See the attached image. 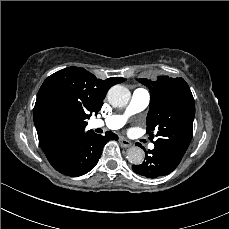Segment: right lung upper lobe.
Wrapping results in <instances>:
<instances>
[{
	"instance_id": "right-lung-upper-lobe-1",
	"label": "right lung upper lobe",
	"mask_w": 229,
	"mask_h": 229,
	"mask_svg": "<svg viewBox=\"0 0 229 229\" xmlns=\"http://www.w3.org/2000/svg\"><path fill=\"white\" fill-rule=\"evenodd\" d=\"M124 78L97 79L83 68L68 67L50 75L42 84L33 110L34 124L40 146L48 160H52L73 138L84 133V121L98 113L107 91ZM55 104L68 106L75 118L66 124H57L50 116Z\"/></svg>"
}]
</instances>
